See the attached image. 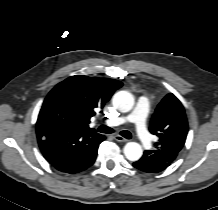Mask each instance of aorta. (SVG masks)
Listing matches in <instances>:
<instances>
[{
	"mask_svg": "<svg viewBox=\"0 0 218 210\" xmlns=\"http://www.w3.org/2000/svg\"><path fill=\"white\" fill-rule=\"evenodd\" d=\"M114 106L121 112H129L134 105V98L127 91H119L113 97ZM124 154L130 161H137L141 158L143 150L140 144L129 142L124 146Z\"/></svg>",
	"mask_w": 218,
	"mask_h": 210,
	"instance_id": "obj_1",
	"label": "aorta"
}]
</instances>
